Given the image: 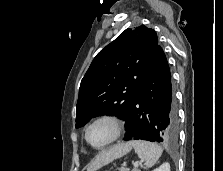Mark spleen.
Wrapping results in <instances>:
<instances>
[{"label":"spleen","instance_id":"spleen-1","mask_svg":"<svg viewBox=\"0 0 223 171\" xmlns=\"http://www.w3.org/2000/svg\"><path fill=\"white\" fill-rule=\"evenodd\" d=\"M139 158L145 161V166L151 168L162 155L163 149L155 143L135 140L130 142Z\"/></svg>","mask_w":223,"mask_h":171}]
</instances>
